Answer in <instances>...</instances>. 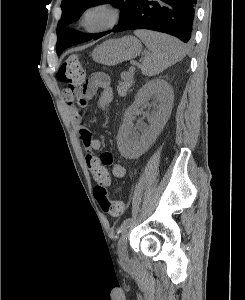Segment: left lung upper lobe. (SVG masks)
I'll use <instances>...</instances> for the list:
<instances>
[{
	"mask_svg": "<svg viewBox=\"0 0 245 300\" xmlns=\"http://www.w3.org/2000/svg\"><path fill=\"white\" fill-rule=\"evenodd\" d=\"M133 2L134 0H62V16L57 27V54L60 55L69 46L89 41L105 33L84 34L69 27L85 9L90 6L112 3L113 6L121 10L120 22H122L131 14Z\"/></svg>",
	"mask_w": 245,
	"mask_h": 300,
	"instance_id": "1",
	"label": "left lung upper lobe"
}]
</instances>
